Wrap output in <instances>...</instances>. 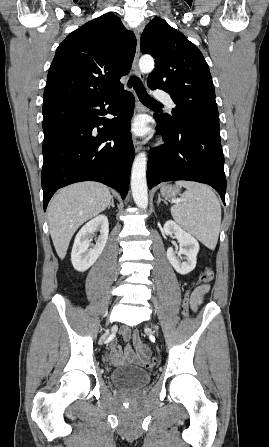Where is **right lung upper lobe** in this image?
<instances>
[{
  "mask_svg": "<svg viewBox=\"0 0 269 447\" xmlns=\"http://www.w3.org/2000/svg\"><path fill=\"white\" fill-rule=\"evenodd\" d=\"M136 51V38L119 17L104 14L70 33L51 63L43 102L107 93L120 88Z\"/></svg>",
  "mask_w": 269,
  "mask_h": 447,
  "instance_id": "right-lung-upper-lobe-1",
  "label": "right lung upper lobe"
}]
</instances>
